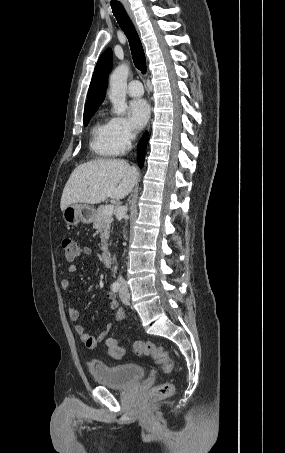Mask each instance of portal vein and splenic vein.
Segmentation results:
<instances>
[{"label": "portal vein and splenic vein", "mask_w": 285, "mask_h": 453, "mask_svg": "<svg viewBox=\"0 0 285 453\" xmlns=\"http://www.w3.org/2000/svg\"><path fill=\"white\" fill-rule=\"evenodd\" d=\"M113 209H114L113 205H106L103 209V213L106 215L112 214Z\"/></svg>", "instance_id": "portal-vein-and-splenic-vein-1"}]
</instances>
